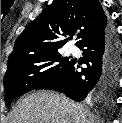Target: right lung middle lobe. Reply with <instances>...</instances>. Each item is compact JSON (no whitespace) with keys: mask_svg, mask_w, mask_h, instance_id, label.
I'll use <instances>...</instances> for the list:
<instances>
[{"mask_svg":"<svg viewBox=\"0 0 122 123\" xmlns=\"http://www.w3.org/2000/svg\"><path fill=\"white\" fill-rule=\"evenodd\" d=\"M73 60L63 58L59 51L32 56L7 68L4 76L5 104L65 72Z\"/></svg>","mask_w":122,"mask_h":123,"instance_id":"1","label":"right lung middle lobe"}]
</instances>
